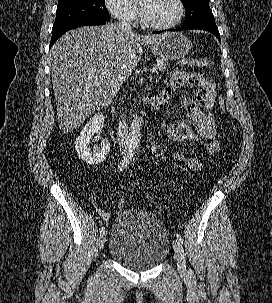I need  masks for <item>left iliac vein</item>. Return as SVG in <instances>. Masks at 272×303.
I'll use <instances>...</instances> for the list:
<instances>
[{"instance_id":"obj_1","label":"left iliac vein","mask_w":272,"mask_h":303,"mask_svg":"<svg viewBox=\"0 0 272 303\" xmlns=\"http://www.w3.org/2000/svg\"><path fill=\"white\" fill-rule=\"evenodd\" d=\"M173 248L175 251V257L177 260V266H178V270L182 275H185L187 270H186V261H185V253H184V249L182 247L181 242L176 239L173 242Z\"/></svg>"}]
</instances>
